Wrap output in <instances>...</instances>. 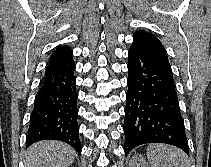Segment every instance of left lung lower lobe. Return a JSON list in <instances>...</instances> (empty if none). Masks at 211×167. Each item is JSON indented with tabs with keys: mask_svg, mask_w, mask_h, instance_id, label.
Instances as JSON below:
<instances>
[{
	"mask_svg": "<svg viewBox=\"0 0 211 167\" xmlns=\"http://www.w3.org/2000/svg\"><path fill=\"white\" fill-rule=\"evenodd\" d=\"M124 152L166 143L189 154L173 75L145 52L129 49Z\"/></svg>",
	"mask_w": 211,
	"mask_h": 167,
	"instance_id": "obj_1",
	"label": "left lung lower lobe"
}]
</instances>
